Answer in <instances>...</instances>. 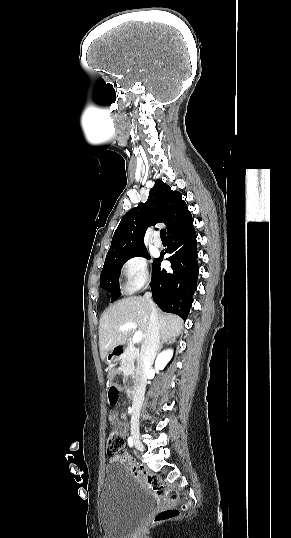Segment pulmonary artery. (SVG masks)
<instances>
[{"label": "pulmonary artery", "instance_id": "e3ab8cb5", "mask_svg": "<svg viewBox=\"0 0 291 538\" xmlns=\"http://www.w3.org/2000/svg\"><path fill=\"white\" fill-rule=\"evenodd\" d=\"M153 243L158 248L162 247V242H161V240L159 238H156Z\"/></svg>", "mask_w": 291, "mask_h": 538}]
</instances>
